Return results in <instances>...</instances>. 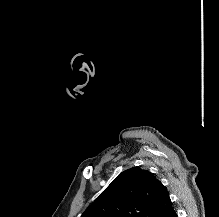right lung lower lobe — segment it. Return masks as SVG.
Segmentation results:
<instances>
[{"mask_svg": "<svg viewBox=\"0 0 219 217\" xmlns=\"http://www.w3.org/2000/svg\"><path fill=\"white\" fill-rule=\"evenodd\" d=\"M166 217H177V214H176L175 210L173 209V207H172V209L168 212V214L166 215Z\"/></svg>", "mask_w": 219, "mask_h": 217, "instance_id": "98d812e1", "label": "right lung lower lobe"}]
</instances>
